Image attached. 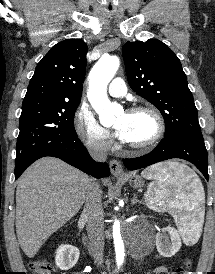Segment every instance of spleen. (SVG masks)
Here are the masks:
<instances>
[{"label":"spleen","mask_w":215,"mask_h":274,"mask_svg":"<svg viewBox=\"0 0 215 274\" xmlns=\"http://www.w3.org/2000/svg\"><path fill=\"white\" fill-rule=\"evenodd\" d=\"M141 175L154 181L145 193L147 206L169 212L186 242H195L205 213V193L200 179L187 166L168 162L153 165Z\"/></svg>","instance_id":"1"}]
</instances>
